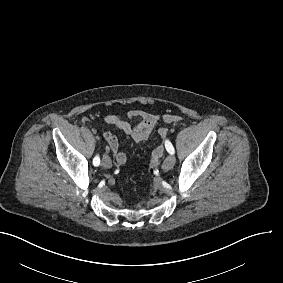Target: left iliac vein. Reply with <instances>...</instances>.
I'll use <instances>...</instances> for the list:
<instances>
[{
    "label": "left iliac vein",
    "instance_id": "1",
    "mask_svg": "<svg viewBox=\"0 0 283 283\" xmlns=\"http://www.w3.org/2000/svg\"><path fill=\"white\" fill-rule=\"evenodd\" d=\"M175 162H176L175 156L173 154H170L165 158L162 164V168L164 170H170L175 165Z\"/></svg>",
    "mask_w": 283,
    "mask_h": 283
}]
</instances>
